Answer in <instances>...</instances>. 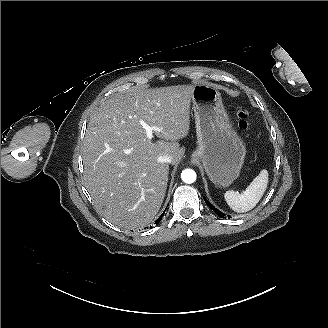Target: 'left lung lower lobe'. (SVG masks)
<instances>
[{
  "label": "left lung lower lobe",
  "mask_w": 328,
  "mask_h": 328,
  "mask_svg": "<svg viewBox=\"0 0 328 328\" xmlns=\"http://www.w3.org/2000/svg\"><path fill=\"white\" fill-rule=\"evenodd\" d=\"M204 200H205V202H206V204L216 213V214H218L221 218H223L224 216H225V214L224 213H222V212H220L218 209H216L214 206H212V204L207 200V199H205L204 198ZM228 218L230 219L231 218V216H228Z\"/></svg>",
  "instance_id": "1"
}]
</instances>
